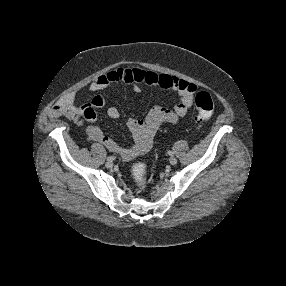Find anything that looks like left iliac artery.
<instances>
[{
    "label": "left iliac artery",
    "mask_w": 286,
    "mask_h": 286,
    "mask_svg": "<svg viewBox=\"0 0 286 286\" xmlns=\"http://www.w3.org/2000/svg\"><path fill=\"white\" fill-rule=\"evenodd\" d=\"M168 154L171 155V156L174 155V153L172 151H168Z\"/></svg>",
    "instance_id": "left-iliac-artery-1"
}]
</instances>
